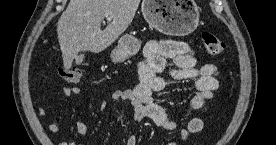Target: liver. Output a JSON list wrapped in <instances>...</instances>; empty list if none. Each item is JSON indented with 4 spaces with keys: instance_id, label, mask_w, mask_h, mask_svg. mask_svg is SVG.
<instances>
[{
    "instance_id": "liver-1",
    "label": "liver",
    "mask_w": 276,
    "mask_h": 145,
    "mask_svg": "<svg viewBox=\"0 0 276 145\" xmlns=\"http://www.w3.org/2000/svg\"><path fill=\"white\" fill-rule=\"evenodd\" d=\"M141 0H70L57 24L65 69L81 51L99 53L131 24ZM112 17L104 30L101 22Z\"/></svg>"
}]
</instances>
